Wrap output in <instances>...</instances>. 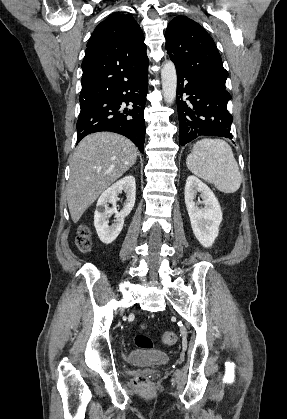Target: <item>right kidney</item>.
Masks as SVG:
<instances>
[{
  "instance_id": "obj_1",
  "label": "right kidney",
  "mask_w": 287,
  "mask_h": 419,
  "mask_svg": "<svg viewBox=\"0 0 287 419\" xmlns=\"http://www.w3.org/2000/svg\"><path fill=\"white\" fill-rule=\"evenodd\" d=\"M122 191L126 193V202L123 209L118 212L116 210L117 196ZM135 195V178L133 176H126L105 190L99 197L94 213V226L103 243H112L120 234L123 228L124 218L130 214L134 207ZM109 203L112 204V208H109ZM111 214H115V223L109 226L107 217Z\"/></svg>"
}]
</instances>
